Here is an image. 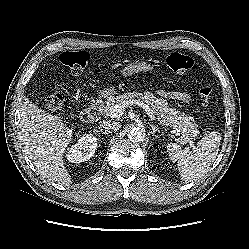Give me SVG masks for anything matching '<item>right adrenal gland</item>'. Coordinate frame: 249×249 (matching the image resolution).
<instances>
[{
    "label": "right adrenal gland",
    "instance_id": "1",
    "mask_svg": "<svg viewBox=\"0 0 249 249\" xmlns=\"http://www.w3.org/2000/svg\"><path fill=\"white\" fill-rule=\"evenodd\" d=\"M97 129H99L103 134H105V135H107V134H109L110 132H108V131H104L101 127H97Z\"/></svg>",
    "mask_w": 249,
    "mask_h": 249
}]
</instances>
